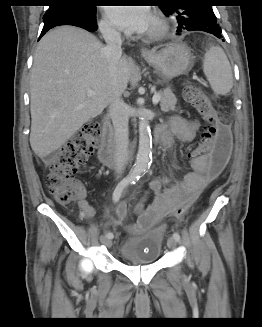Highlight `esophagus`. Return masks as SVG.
Returning a JSON list of instances; mask_svg holds the SVG:
<instances>
[{"label": "esophagus", "mask_w": 262, "mask_h": 327, "mask_svg": "<svg viewBox=\"0 0 262 327\" xmlns=\"http://www.w3.org/2000/svg\"><path fill=\"white\" fill-rule=\"evenodd\" d=\"M141 54H142V56H150V55H152V52L148 48H142Z\"/></svg>", "instance_id": "esophagus-1"}]
</instances>
